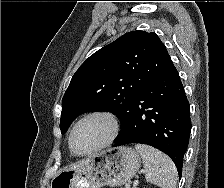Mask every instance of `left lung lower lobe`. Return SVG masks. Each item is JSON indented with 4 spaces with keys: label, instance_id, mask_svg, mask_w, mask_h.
<instances>
[{
    "label": "left lung lower lobe",
    "instance_id": "obj_1",
    "mask_svg": "<svg viewBox=\"0 0 224 188\" xmlns=\"http://www.w3.org/2000/svg\"><path fill=\"white\" fill-rule=\"evenodd\" d=\"M131 111L129 122L112 147L129 143L153 146L173 160L181 176L191 121L184 88L173 64L141 90Z\"/></svg>",
    "mask_w": 224,
    "mask_h": 188
}]
</instances>
